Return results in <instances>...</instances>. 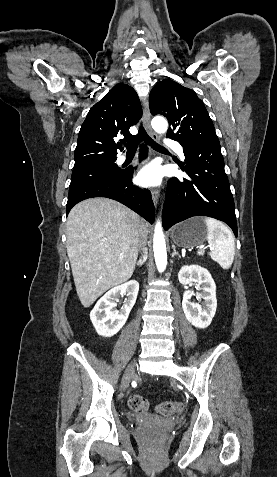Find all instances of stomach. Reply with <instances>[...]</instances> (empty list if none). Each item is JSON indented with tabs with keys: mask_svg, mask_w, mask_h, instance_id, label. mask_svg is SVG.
<instances>
[{
	"mask_svg": "<svg viewBox=\"0 0 277 477\" xmlns=\"http://www.w3.org/2000/svg\"><path fill=\"white\" fill-rule=\"evenodd\" d=\"M173 242L182 248L203 244L207 238V226L203 217H193L177 224L171 232Z\"/></svg>",
	"mask_w": 277,
	"mask_h": 477,
	"instance_id": "0dacf381",
	"label": "stomach"
}]
</instances>
